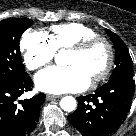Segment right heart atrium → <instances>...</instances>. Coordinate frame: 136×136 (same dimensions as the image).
<instances>
[{
	"instance_id": "right-heart-atrium-1",
	"label": "right heart atrium",
	"mask_w": 136,
	"mask_h": 136,
	"mask_svg": "<svg viewBox=\"0 0 136 136\" xmlns=\"http://www.w3.org/2000/svg\"><path fill=\"white\" fill-rule=\"evenodd\" d=\"M20 49L24 65L29 70H36L46 65L56 53L48 36L36 30L24 32L20 40Z\"/></svg>"
}]
</instances>
